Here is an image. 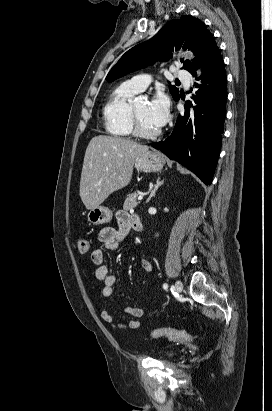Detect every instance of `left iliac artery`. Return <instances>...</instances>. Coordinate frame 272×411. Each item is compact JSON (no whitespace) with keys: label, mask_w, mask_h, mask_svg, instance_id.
<instances>
[{"label":"left iliac artery","mask_w":272,"mask_h":411,"mask_svg":"<svg viewBox=\"0 0 272 411\" xmlns=\"http://www.w3.org/2000/svg\"><path fill=\"white\" fill-rule=\"evenodd\" d=\"M163 288H164L165 290H167L168 285H167L166 283H164V284H163Z\"/></svg>","instance_id":"left-iliac-artery-1"}]
</instances>
